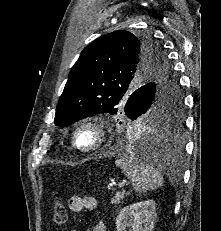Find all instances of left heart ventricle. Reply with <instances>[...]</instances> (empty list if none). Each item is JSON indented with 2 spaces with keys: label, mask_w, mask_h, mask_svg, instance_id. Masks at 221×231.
<instances>
[{
  "label": "left heart ventricle",
  "mask_w": 221,
  "mask_h": 231,
  "mask_svg": "<svg viewBox=\"0 0 221 231\" xmlns=\"http://www.w3.org/2000/svg\"><path fill=\"white\" fill-rule=\"evenodd\" d=\"M77 141L82 147H89L95 141V134L89 128L83 129L78 133Z\"/></svg>",
  "instance_id": "b2bd125f"
}]
</instances>
